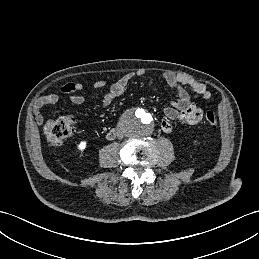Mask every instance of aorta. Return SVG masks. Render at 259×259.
I'll use <instances>...</instances> for the list:
<instances>
[{"mask_svg":"<svg viewBox=\"0 0 259 259\" xmlns=\"http://www.w3.org/2000/svg\"><path fill=\"white\" fill-rule=\"evenodd\" d=\"M121 127L130 137H147L153 132L154 117L145 108H134L123 117Z\"/></svg>","mask_w":259,"mask_h":259,"instance_id":"obj_1","label":"aorta"}]
</instances>
